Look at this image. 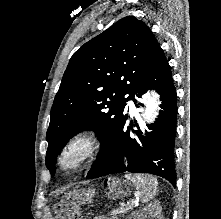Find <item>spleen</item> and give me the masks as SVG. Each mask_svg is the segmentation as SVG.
<instances>
[{"mask_svg":"<svg viewBox=\"0 0 221 219\" xmlns=\"http://www.w3.org/2000/svg\"><path fill=\"white\" fill-rule=\"evenodd\" d=\"M125 177L133 182L142 202H148L154 197L158 185L157 179L141 175H125Z\"/></svg>","mask_w":221,"mask_h":219,"instance_id":"3e777b00","label":"spleen"}]
</instances>
